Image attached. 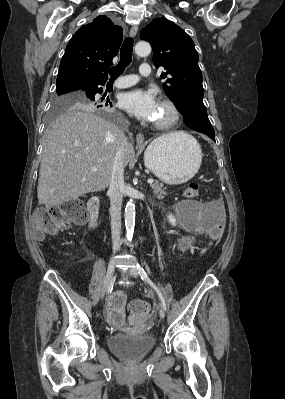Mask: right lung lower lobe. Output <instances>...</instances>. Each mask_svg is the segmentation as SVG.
Wrapping results in <instances>:
<instances>
[{"label":"right lung lower lobe","instance_id":"98d812e1","mask_svg":"<svg viewBox=\"0 0 285 399\" xmlns=\"http://www.w3.org/2000/svg\"><path fill=\"white\" fill-rule=\"evenodd\" d=\"M106 80L102 81H90L86 85L82 86L80 90L85 91L86 93L97 94L101 93L102 89L98 88V85L104 84Z\"/></svg>","mask_w":285,"mask_h":399}]
</instances>
